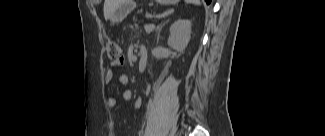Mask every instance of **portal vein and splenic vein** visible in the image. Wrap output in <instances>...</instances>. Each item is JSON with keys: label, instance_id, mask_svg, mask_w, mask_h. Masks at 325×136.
<instances>
[{"label": "portal vein and splenic vein", "instance_id": "obj_1", "mask_svg": "<svg viewBox=\"0 0 325 136\" xmlns=\"http://www.w3.org/2000/svg\"><path fill=\"white\" fill-rule=\"evenodd\" d=\"M154 26L153 25H145V28L146 29H151V28H153Z\"/></svg>", "mask_w": 325, "mask_h": 136}]
</instances>
